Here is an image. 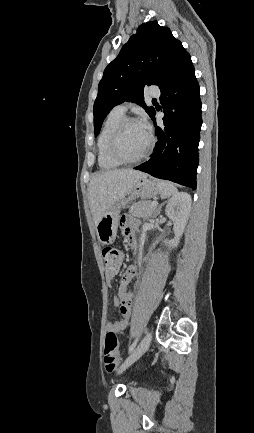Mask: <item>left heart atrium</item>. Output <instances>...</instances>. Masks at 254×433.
<instances>
[{
	"mask_svg": "<svg viewBox=\"0 0 254 433\" xmlns=\"http://www.w3.org/2000/svg\"><path fill=\"white\" fill-rule=\"evenodd\" d=\"M138 123H139L140 127L148 134L150 127H149V124H148V121L146 120V118L145 117L141 118L138 121Z\"/></svg>",
	"mask_w": 254,
	"mask_h": 433,
	"instance_id": "1",
	"label": "left heart atrium"
}]
</instances>
